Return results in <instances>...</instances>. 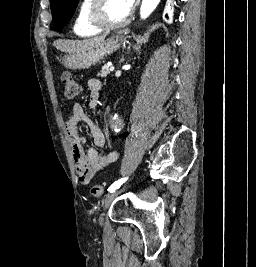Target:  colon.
Returning <instances> with one entry per match:
<instances>
[{"mask_svg": "<svg viewBox=\"0 0 256 267\" xmlns=\"http://www.w3.org/2000/svg\"><path fill=\"white\" fill-rule=\"evenodd\" d=\"M62 86H63V90H64V94L68 97H75L78 95L79 93V85L77 83V81L75 80V78L67 73L64 72L62 74ZM107 190V186L104 184H97V185H93L90 189V193L92 196L94 197H99L102 196Z\"/></svg>", "mask_w": 256, "mask_h": 267, "instance_id": "1", "label": "colon"}]
</instances>
